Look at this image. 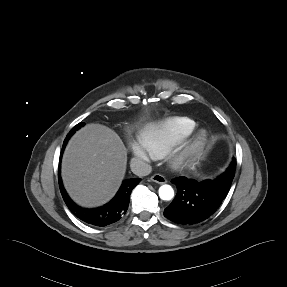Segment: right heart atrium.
I'll return each mask as SVG.
<instances>
[{"mask_svg": "<svg viewBox=\"0 0 287 287\" xmlns=\"http://www.w3.org/2000/svg\"><path fill=\"white\" fill-rule=\"evenodd\" d=\"M131 150L135 157L142 160H149L154 157L152 149L144 136L137 137L131 143Z\"/></svg>", "mask_w": 287, "mask_h": 287, "instance_id": "right-heart-atrium-1", "label": "right heart atrium"}]
</instances>
